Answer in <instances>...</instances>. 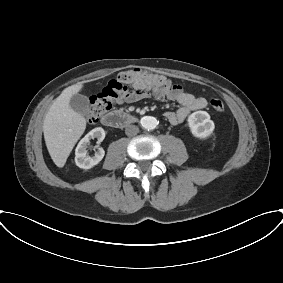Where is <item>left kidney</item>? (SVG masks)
I'll return each mask as SVG.
<instances>
[{"label": "left kidney", "mask_w": 283, "mask_h": 283, "mask_svg": "<svg viewBox=\"0 0 283 283\" xmlns=\"http://www.w3.org/2000/svg\"><path fill=\"white\" fill-rule=\"evenodd\" d=\"M188 125L191 133L200 139H204L212 134L215 125L206 111H196L189 115Z\"/></svg>", "instance_id": "1"}]
</instances>
